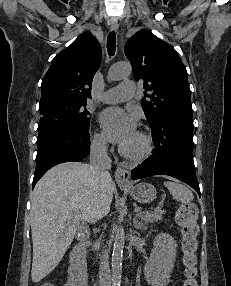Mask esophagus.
I'll list each match as a JSON object with an SVG mask.
<instances>
[{"label": "esophagus", "mask_w": 231, "mask_h": 286, "mask_svg": "<svg viewBox=\"0 0 231 286\" xmlns=\"http://www.w3.org/2000/svg\"><path fill=\"white\" fill-rule=\"evenodd\" d=\"M108 25L111 30H117L118 29V22L116 19L112 18L108 21ZM115 180L119 186H127L130 184L129 178H130V173L128 170L122 168V167H117L115 170Z\"/></svg>", "instance_id": "obj_1"}]
</instances>
